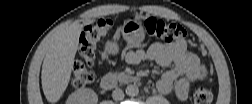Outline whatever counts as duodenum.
Listing matches in <instances>:
<instances>
[{"mask_svg": "<svg viewBox=\"0 0 252 104\" xmlns=\"http://www.w3.org/2000/svg\"><path fill=\"white\" fill-rule=\"evenodd\" d=\"M138 81V77L136 76H129L124 74H107L103 77L101 80V87L103 89H112L114 88L118 83H132Z\"/></svg>", "mask_w": 252, "mask_h": 104, "instance_id": "obj_1", "label": "duodenum"}]
</instances>
